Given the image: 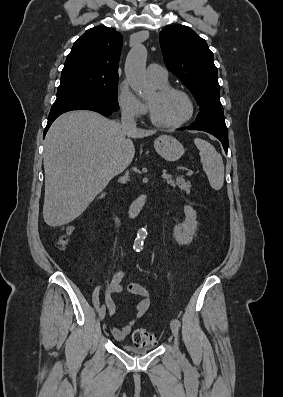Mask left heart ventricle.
<instances>
[{"label":"left heart ventricle","mask_w":283,"mask_h":397,"mask_svg":"<svg viewBox=\"0 0 283 397\" xmlns=\"http://www.w3.org/2000/svg\"><path fill=\"white\" fill-rule=\"evenodd\" d=\"M148 101L153 105L157 118L165 123L184 119L190 110L187 99L180 93H171L158 99L155 92Z\"/></svg>","instance_id":"left-heart-ventricle-1"}]
</instances>
